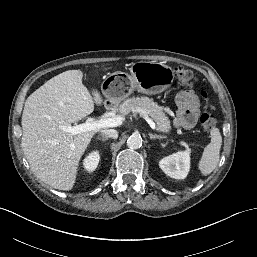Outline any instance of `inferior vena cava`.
<instances>
[{
	"label": "inferior vena cava",
	"mask_w": 257,
	"mask_h": 257,
	"mask_svg": "<svg viewBox=\"0 0 257 257\" xmlns=\"http://www.w3.org/2000/svg\"><path fill=\"white\" fill-rule=\"evenodd\" d=\"M101 135H104V136H107L108 138H113V139L118 138V132L114 129L101 130Z\"/></svg>",
	"instance_id": "1"
}]
</instances>
